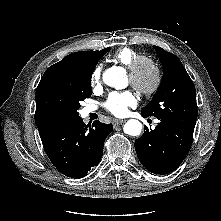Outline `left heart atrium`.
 I'll return each mask as SVG.
<instances>
[{"instance_id":"obj_1","label":"left heart atrium","mask_w":221,"mask_h":221,"mask_svg":"<svg viewBox=\"0 0 221 221\" xmlns=\"http://www.w3.org/2000/svg\"><path fill=\"white\" fill-rule=\"evenodd\" d=\"M136 98L130 91L125 92H113L109 95L105 107L115 116H125L128 113L130 107L136 105Z\"/></svg>"}]
</instances>
